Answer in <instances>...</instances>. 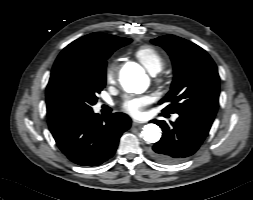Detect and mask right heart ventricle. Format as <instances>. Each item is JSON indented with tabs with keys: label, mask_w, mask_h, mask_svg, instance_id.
Returning <instances> with one entry per match:
<instances>
[{
	"label": "right heart ventricle",
	"mask_w": 253,
	"mask_h": 200,
	"mask_svg": "<svg viewBox=\"0 0 253 200\" xmlns=\"http://www.w3.org/2000/svg\"><path fill=\"white\" fill-rule=\"evenodd\" d=\"M135 57L151 74H157L165 67L164 56L151 46L139 47L135 51Z\"/></svg>",
	"instance_id": "obj_1"
}]
</instances>
